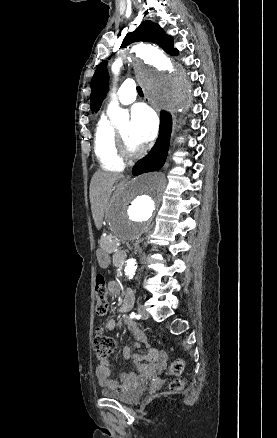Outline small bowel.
Returning <instances> with one entry per match:
<instances>
[{"instance_id": "1", "label": "small bowel", "mask_w": 277, "mask_h": 438, "mask_svg": "<svg viewBox=\"0 0 277 438\" xmlns=\"http://www.w3.org/2000/svg\"><path fill=\"white\" fill-rule=\"evenodd\" d=\"M108 290L113 296H116L119 293V287L115 282H111L109 284ZM134 301V292L132 289L128 288L124 293L123 301L121 306L118 308V311L124 313L131 310L134 305ZM105 325L108 330H114L116 327L115 318H109ZM126 327L136 338V342L126 345L123 348L122 353L124 358L131 359L135 363L136 371L121 374L119 380L112 379L111 363L109 360L102 359L95 367V375L98 384L101 387L111 390L128 391L139 383L142 375L147 374L149 371L162 369L167 364V354L163 351H158L153 348H149V353L147 355L132 354V348H138L142 344H146V339L136 323L127 321ZM153 362L156 363V366L151 365Z\"/></svg>"}]
</instances>
